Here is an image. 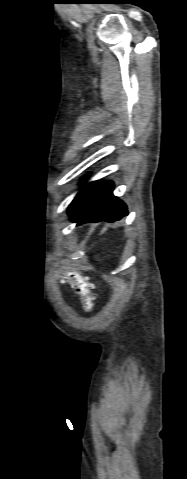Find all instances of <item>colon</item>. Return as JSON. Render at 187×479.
<instances>
[{
	"label": "colon",
	"mask_w": 187,
	"mask_h": 479,
	"mask_svg": "<svg viewBox=\"0 0 187 479\" xmlns=\"http://www.w3.org/2000/svg\"><path fill=\"white\" fill-rule=\"evenodd\" d=\"M75 292L81 297L83 309L91 312L95 296L91 293L88 284L83 279H75Z\"/></svg>",
	"instance_id": "obj_1"
}]
</instances>
